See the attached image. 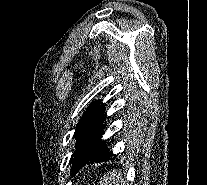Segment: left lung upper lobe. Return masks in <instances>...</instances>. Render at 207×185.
I'll return each mask as SVG.
<instances>
[{
  "label": "left lung upper lobe",
  "mask_w": 207,
  "mask_h": 185,
  "mask_svg": "<svg viewBox=\"0 0 207 185\" xmlns=\"http://www.w3.org/2000/svg\"><path fill=\"white\" fill-rule=\"evenodd\" d=\"M104 108L99 100L95 101L79 120L74 132L76 151L71 159L72 166L87 154H97L107 149L105 141L101 139L105 127Z\"/></svg>",
  "instance_id": "left-lung-upper-lobe-1"
}]
</instances>
